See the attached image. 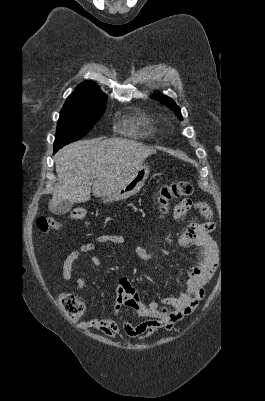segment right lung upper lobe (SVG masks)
<instances>
[{"mask_svg": "<svg viewBox=\"0 0 265 401\" xmlns=\"http://www.w3.org/2000/svg\"><path fill=\"white\" fill-rule=\"evenodd\" d=\"M107 101V96L93 81H84L68 96L64 106L95 101Z\"/></svg>", "mask_w": 265, "mask_h": 401, "instance_id": "obj_1", "label": "right lung upper lobe"}]
</instances>
